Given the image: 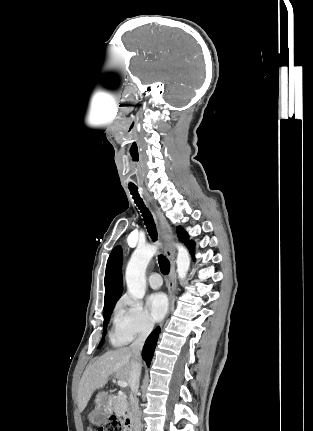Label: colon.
<instances>
[{
    "mask_svg": "<svg viewBox=\"0 0 313 431\" xmlns=\"http://www.w3.org/2000/svg\"><path fill=\"white\" fill-rule=\"evenodd\" d=\"M99 431H124L121 420L111 416L99 429Z\"/></svg>",
    "mask_w": 313,
    "mask_h": 431,
    "instance_id": "5ec220e1",
    "label": "colon"
}]
</instances>
